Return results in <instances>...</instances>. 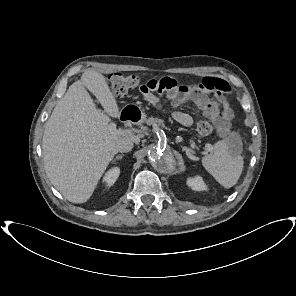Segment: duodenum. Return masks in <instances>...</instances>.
Returning a JSON list of instances; mask_svg holds the SVG:
<instances>
[{
  "label": "duodenum",
  "instance_id": "duodenum-1",
  "mask_svg": "<svg viewBox=\"0 0 296 296\" xmlns=\"http://www.w3.org/2000/svg\"><path fill=\"white\" fill-rule=\"evenodd\" d=\"M122 120L137 121L138 113L135 110H125L121 114Z\"/></svg>",
  "mask_w": 296,
  "mask_h": 296
}]
</instances>
